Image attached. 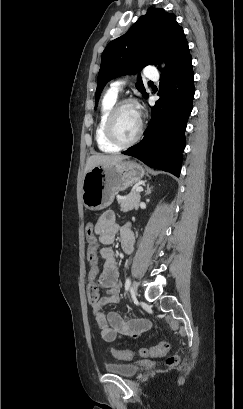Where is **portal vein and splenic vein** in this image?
<instances>
[{
    "label": "portal vein and splenic vein",
    "instance_id": "18ae733b",
    "mask_svg": "<svg viewBox=\"0 0 243 409\" xmlns=\"http://www.w3.org/2000/svg\"><path fill=\"white\" fill-rule=\"evenodd\" d=\"M142 191H143V188H142V187L136 188V192H142Z\"/></svg>",
    "mask_w": 243,
    "mask_h": 409
}]
</instances>
